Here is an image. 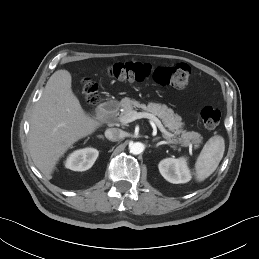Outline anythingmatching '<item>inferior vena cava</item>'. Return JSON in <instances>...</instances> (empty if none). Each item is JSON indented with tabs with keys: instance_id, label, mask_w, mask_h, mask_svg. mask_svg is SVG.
Instances as JSON below:
<instances>
[{
	"instance_id": "inferior-vena-cava-1",
	"label": "inferior vena cava",
	"mask_w": 259,
	"mask_h": 259,
	"mask_svg": "<svg viewBox=\"0 0 259 259\" xmlns=\"http://www.w3.org/2000/svg\"><path fill=\"white\" fill-rule=\"evenodd\" d=\"M105 137L111 141H118L124 137V132L118 128H109L105 131Z\"/></svg>"
}]
</instances>
